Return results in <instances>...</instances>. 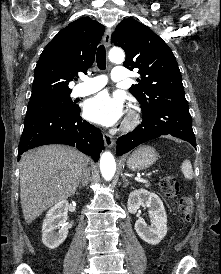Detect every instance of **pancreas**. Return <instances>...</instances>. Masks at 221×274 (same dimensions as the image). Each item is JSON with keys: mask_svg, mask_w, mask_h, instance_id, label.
<instances>
[{"mask_svg": "<svg viewBox=\"0 0 221 274\" xmlns=\"http://www.w3.org/2000/svg\"><path fill=\"white\" fill-rule=\"evenodd\" d=\"M145 185H146L147 187L150 186V184H148V183H146Z\"/></svg>", "mask_w": 221, "mask_h": 274, "instance_id": "obj_1", "label": "pancreas"}]
</instances>
